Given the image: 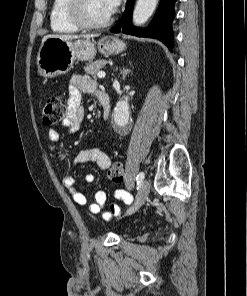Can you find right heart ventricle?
Returning a JSON list of instances; mask_svg holds the SVG:
<instances>
[{
  "mask_svg": "<svg viewBox=\"0 0 247 296\" xmlns=\"http://www.w3.org/2000/svg\"><path fill=\"white\" fill-rule=\"evenodd\" d=\"M69 0H53L50 11L51 29L60 34H71L79 30L68 18L67 7Z\"/></svg>",
  "mask_w": 247,
  "mask_h": 296,
  "instance_id": "1",
  "label": "right heart ventricle"
}]
</instances>
